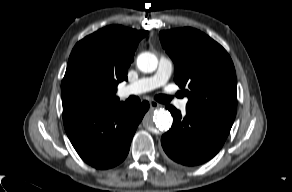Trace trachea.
Returning a JSON list of instances; mask_svg holds the SVG:
<instances>
[{
  "label": "trachea",
  "instance_id": "1",
  "mask_svg": "<svg viewBox=\"0 0 292 192\" xmlns=\"http://www.w3.org/2000/svg\"><path fill=\"white\" fill-rule=\"evenodd\" d=\"M172 97L171 96H166V95H157L155 96V100L160 102V103H163V104H166V103H169L171 101ZM138 101V99H136Z\"/></svg>",
  "mask_w": 292,
  "mask_h": 192
}]
</instances>
